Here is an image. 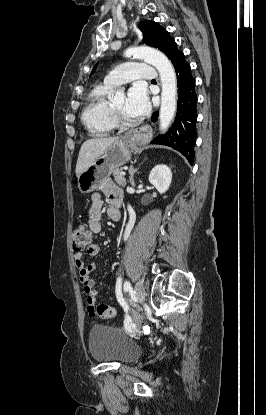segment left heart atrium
Returning <instances> with one entry per match:
<instances>
[{"label": "left heart atrium", "mask_w": 266, "mask_h": 415, "mask_svg": "<svg viewBox=\"0 0 266 415\" xmlns=\"http://www.w3.org/2000/svg\"><path fill=\"white\" fill-rule=\"evenodd\" d=\"M150 110V102L146 88L140 84H134L127 95L125 111L132 118L146 115Z\"/></svg>", "instance_id": "39dd6f15"}]
</instances>
